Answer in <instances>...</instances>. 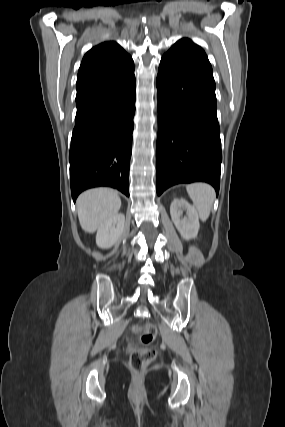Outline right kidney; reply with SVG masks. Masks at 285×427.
<instances>
[{
    "instance_id": "1",
    "label": "right kidney",
    "mask_w": 285,
    "mask_h": 427,
    "mask_svg": "<svg viewBox=\"0 0 285 427\" xmlns=\"http://www.w3.org/2000/svg\"><path fill=\"white\" fill-rule=\"evenodd\" d=\"M125 226V216L117 213L102 223L97 231L96 244L100 248H110L117 244L122 237Z\"/></svg>"
}]
</instances>
